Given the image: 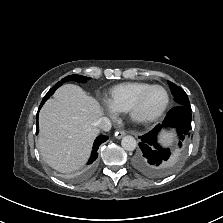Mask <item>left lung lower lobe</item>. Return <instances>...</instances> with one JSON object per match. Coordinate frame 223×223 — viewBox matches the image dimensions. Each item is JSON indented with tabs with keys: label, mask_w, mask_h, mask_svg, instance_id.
Listing matches in <instances>:
<instances>
[{
	"label": "left lung lower lobe",
	"mask_w": 223,
	"mask_h": 223,
	"mask_svg": "<svg viewBox=\"0 0 223 223\" xmlns=\"http://www.w3.org/2000/svg\"><path fill=\"white\" fill-rule=\"evenodd\" d=\"M172 127L177 130L179 146L189 136L191 130V107L177 105L166 115L163 123L140 137L141 151L135 158V166L144 174L151 177H160L167 174L173 162L170 159L169 149H163L157 143V135L163 129Z\"/></svg>",
	"instance_id": "left-lung-lower-lobe-1"
}]
</instances>
